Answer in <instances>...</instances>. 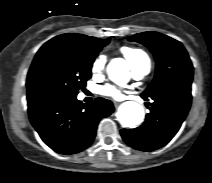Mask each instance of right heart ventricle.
Here are the masks:
<instances>
[{"label":"right heart ventricle","mask_w":212,"mask_h":183,"mask_svg":"<svg viewBox=\"0 0 212 183\" xmlns=\"http://www.w3.org/2000/svg\"><path fill=\"white\" fill-rule=\"evenodd\" d=\"M121 51L125 58L129 61L132 68L151 65L149 56L142 49L123 47Z\"/></svg>","instance_id":"right-heart-ventricle-1"}]
</instances>
